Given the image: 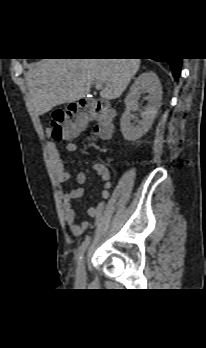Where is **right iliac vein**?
Masks as SVG:
<instances>
[{
  "instance_id": "right-iliac-vein-1",
  "label": "right iliac vein",
  "mask_w": 206,
  "mask_h": 348,
  "mask_svg": "<svg viewBox=\"0 0 206 348\" xmlns=\"http://www.w3.org/2000/svg\"><path fill=\"white\" fill-rule=\"evenodd\" d=\"M76 275H77V280L79 282H83L85 280L86 277V272H85V259H82L77 267L76 270Z\"/></svg>"
}]
</instances>
